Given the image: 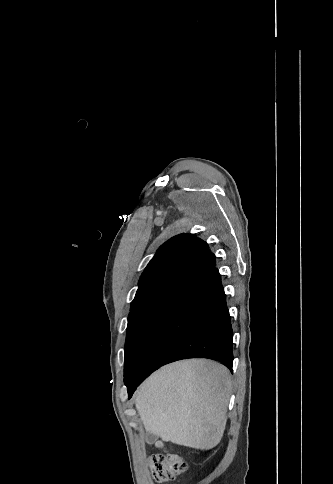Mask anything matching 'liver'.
Masks as SVG:
<instances>
[{"label": "liver", "instance_id": "obj_1", "mask_svg": "<svg viewBox=\"0 0 333 484\" xmlns=\"http://www.w3.org/2000/svg\"><path fill=\"white\" fill-rule=\"evenodd\" d=\"M230 389V373L222 364L185 360L148 377L136 391L135 406L146 432L209 450L223 437Z\"/></svg>", "mask_w": 333, "mask_h": 484}]
</instances>
